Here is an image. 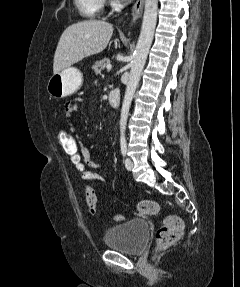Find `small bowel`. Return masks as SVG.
Masks as SVG:
<instances>
[{"label": "small bowel", "mask_w": 240, "mask_h": 287, "mask_svg": "<svg viewBox=\"0 0 240 287\" xmlns=\"http://www.w3.org/2000/svg\"><path fill=\"white\" fill-rule=\"evenodd\" d=\"M79 102H80V99H78V98L74 99L71 102L67 103L65 106V109H64L65 116L67 118H69V120H70V123L72 126V131H75V123H74L73 117H74L75 113L77 112ZM78 144H79L81 155H82L84 161L86 162V164L88 165V167L91 170L99 168L101 166V164L93 158L90 150L86 146L81 144L80 142H78ZM92 172H93V179L94 180H96V181H103L104 180L101 175H99L98 173H96L94 171H92Z\"/></svg>", "instance_id": "obj_1"}]
</instances>
